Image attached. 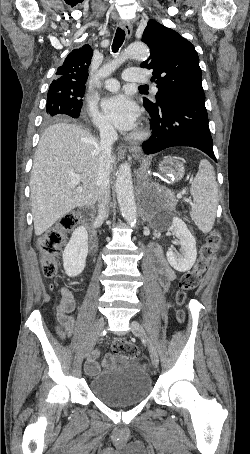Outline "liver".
<instances>
[{
  "label": "liver",
  "mask_w": 250,
  "mask_h": 454,
  "mask_svg": "<svg viewBox=\"0 0 250 454\" xmlns=\"http://www.w3.org/2000/svg\"><path fill=\"white\" fill-rule=\"evenodd\" d=\"M99 158L98 140L76 125L57 123L44 131L35 152L30 178L36 236L76 207L92 206L97 202ZM72 175L80 177L82 191L76 190Z\"/></svg>",
  "instance_id": "6515ba94"
}]
</instances>
